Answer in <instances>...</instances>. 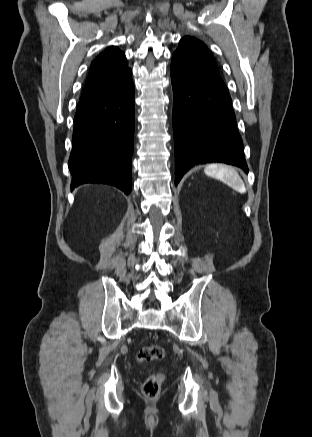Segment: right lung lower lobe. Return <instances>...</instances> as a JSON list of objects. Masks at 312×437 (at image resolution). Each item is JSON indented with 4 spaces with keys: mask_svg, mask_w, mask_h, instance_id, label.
<instances>
[{
    "mask_svg": "<svg viewBox=\"0 0 312 437\" xmlns=\"http://www.w3.org/2000/svg\"><path fill=\"white\" fill-rule=\"evenodd\" d=\"M134 93L130 72L115 87L78 103L69 159L71 189L100 183L131 192Z\"/></svg>",
    "mask_w": 312,
    "mask_h": 437,
    "instance_id": "1",
    "label": "right lung lower lobe"
}]
</instances>
